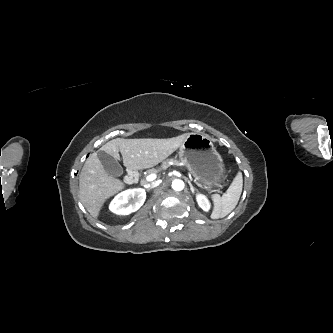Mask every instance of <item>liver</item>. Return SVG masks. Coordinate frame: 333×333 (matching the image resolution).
I'll list each match as a JSON object with an SVG mask.
<instances>
[{
    "mask_svg": "<svg viewBox=\"0 0 333 333\" xmlns=\"http://www.w3.org/2000/svg\"><path fill=\"white\" fill-rule=\"evenodd\" d=\"M189 133L168 139H121L116 138L100 150L119 159V151L123 157L124 166L133 170L147 169L169 157L185 141ZM124 188V183L109 175L97 153H93L85 162L79 175V197L84 207L94 218L99 213L105 201Z\"/></svg>",
    "mask_w": 333,
    "mask_h": 333,
    "instance_id": "1",
    "label": "liver"
}]
</instances>
